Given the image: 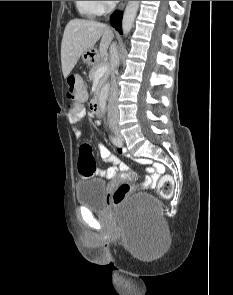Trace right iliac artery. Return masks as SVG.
Segmentation results:
<instances>
[{
    "label": "right iliac artery",
    "instance_id": "82829eb1",
    "mask_svg": "<svg viewBox=\"0 0 233 295\" xmlns=\"http://www.w3.org/2000/svg\"><path fill=\"white\" fill-rule=\"evenodd\" d=\"M111 141L118 147L122 145V142L117 137L111 136Z\"/></svg>",
    "mask_w": 233,
    "mask_h": 295
}]
</instances>
